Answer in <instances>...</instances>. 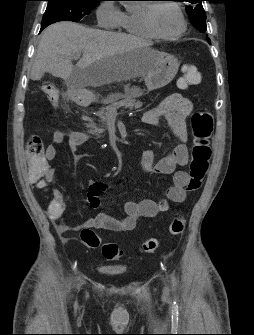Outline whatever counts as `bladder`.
I'll return each mask as SVG.
<instances>
[{
  "label": "bladder",
  "mask_w": 254,
  "mask_h": 335,
  "mask_svg": "<svg viewBox=\"0 0 254 335\" xmlns=\"http://www.w3.org/2000/svg\"><path fill=\"white\" fill-rule=\"evenodd\" d=\"M99 271L106 275H122L126 272V270L123 268L108 267V266L99 267Z\"/></svg>",
  "instance_id": "1"
}]
</instances>
